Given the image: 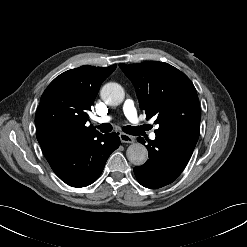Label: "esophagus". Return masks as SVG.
<instances>
[{"instance_id": "34e87169", "label": "esophagus", "mask_w": 247, "mask_h": 247, "mask_svg": "<svg viewBox=\"0 0 247 247\" xmlns=\"http://www.w3.org/2000/svg\"><path fill=\"white\" fill-rule=\"evenodd\" d=\"M119 137L122 143H133L135 141L133 136L126 133H120Z\"/></svg>"}]
</instances>
